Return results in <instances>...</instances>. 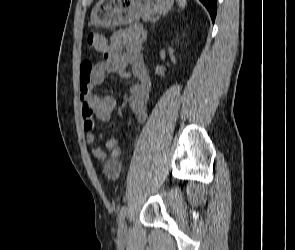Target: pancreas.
Wrapping results in <instances>:
<instances>
[{"mask_svg": "<svg viewBox=\"0 0 295 250\" xmlns=\"http://www.w3.org/2000/svg\"><path fill=\"white\" fill-rule=\"evenodd\" d=\"M154 19L150 18V17H144V21H152L153 22Z\"/></svg>", "mask_w": 295, "mask_h": 250, "instance_id": "pancreas-1", "label": "pancreas"}]
</instances>
